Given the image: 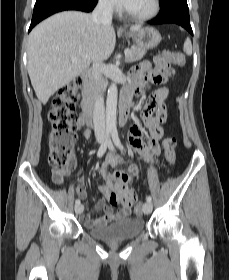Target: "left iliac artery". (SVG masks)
Listing matches in <instances>:
<instances>
[{
  "mask_svg": "<svg viewBox=\"0 0 229 280\" xmlns=\"http://www.w3.org/2000/svg\"><path fill=\"white\" fill-rule=\"evenodd\" d=\"M111 133H112V139H113L114 144H115L120 150H122V151L125 150L123 144L121 143V141H120V139H119L117 129H113V130L111 131ZM146 200H147V202H151V201H152L151 196L148 195V196L146 197Z\"/></svg>",
  "mask_w": 229,
  "mask_h": 280,
  "instance_id": "1",
  "label": "left iliac artery"
}]
</instances>
